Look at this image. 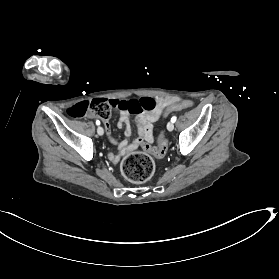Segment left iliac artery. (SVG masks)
Returning <instances> with one entry per match:
<instances>
[{
	"mask_svg": "<svg viewBox=\"0 0 279 279\" xmlns=\"http://www.w3.org/2000/svg\"><path fill=\"white\" fill-rule=\"evenodd\" d=\"M177 120V117L176 116H173L172 118H171V122H175Z\"/></svg>",
	"mask_w": 279,
	"mask_h": 279,
	"instance_id": "obj_1",
	"label": "left iliac artery"
}]
</instances>
